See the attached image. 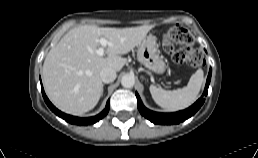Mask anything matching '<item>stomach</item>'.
Segmentation results:
<instances>
[{"label":"stomach","instance_id":"stomach-1","mask_svg":"<svg viewBox=\"0 0 258 158\" xmlns=\"http://www.w3.org/2000/svg\"><path fill=\"white\" fill-rule=\"evenodd\" d=\"M137 58L149 70L162 74L166 69V64L159 55L156 38L152 35L145 37L138 46Z\"/></svg>","mask_w":258,"mask_h":158}]
</instances>
